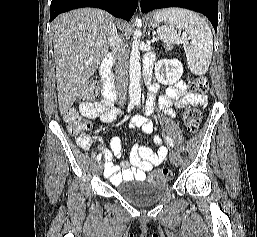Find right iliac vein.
Masks as SVG:
<instances>
[{
	"label": "right iliac vein",
	"mask_w": 257,
	"mask_h": 237,
	"mask_svg": "<svg viewBox=\"0 0 257 237\" xmlns=\"http://www.w3.org/2000/svg\"><path fill=\"white\" fill-rule=\"evenodd\" d=\"M97 170L99 173H101L103 171V162L99 161L97 164Z\"/></svg>",
	"instance_id": "right-iliac-vein-1"
}]
</instances>
